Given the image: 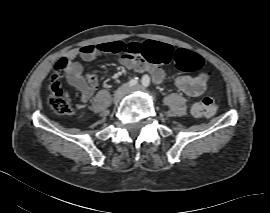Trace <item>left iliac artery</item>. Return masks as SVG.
Here are the masks:
<instances>
[{
	"mask_svg": "<svg viewBox=\"0 0 270 213\" xmlns=\"http://www.w3.org/2000/svg\"><path fill=\"white\" fill-rule=\"evenodd\" d=\"M141 82H142V85H143L144 87H148V86L150 85V78H149V76H148V75H144V76L142 77Z\"/></svg>",
	"mask_w": 270,
	"mask_h": 213,
	"instance_id": "1",
	"label": "left iliac artery"
}]
</instances>
